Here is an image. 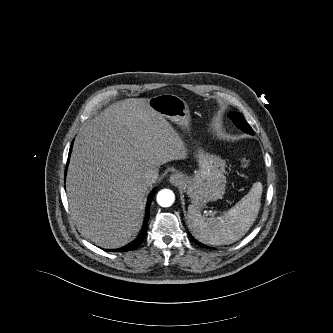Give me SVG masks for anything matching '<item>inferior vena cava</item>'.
I'll use <instances>...</instances> for the list:
<instances>
[{"mask_svg":"<svg viewBox=\"0 0 333 333\" xmlns=\"http://www.w3.org/2000/svg\"><path fill=\"white\" fill-rule=\"evenodd\" d=\"M159 178V170L157 168L150 169L146 173V184L147 185H152L153 183L156 182V180Z\"/></svg>","mask_w":333,"mask_h":333,"instance_id":"1","label":"inferior vena cava"}]
</instances>
